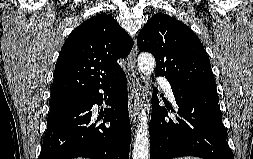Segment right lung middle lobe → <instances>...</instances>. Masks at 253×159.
I'll return each instance as SVG.
<instances>
[{"instance_id":"obj_1","label":"right lung middle lobe","mask_w":253,"mask_h":159,"mask_svg":"<svg viewBox=\"0 0 253 159\" xmlns=\"http://www.w3.org/2000/svg\"><path fill=\"white\" fill-rule=\"evenodd\" d=\"M82 98H75V99H67V100L50 102V112H49L48 119L56 116L58 113H60L64 110L74 106Z\"/></svg>"}]
</instances>
